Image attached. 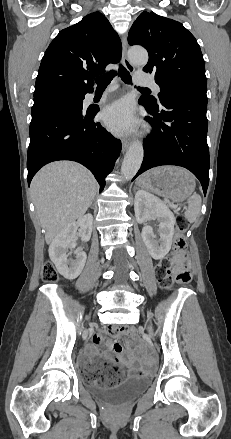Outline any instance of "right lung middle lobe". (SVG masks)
<instances>
[{"instance_id":"1","label":"right lung middle lobe","mask_w":231,"mask_h":439,"mask_svg":"<svg viewBox=\"0 0 231 439\" xmlns=\"http://www.w3.org/2000/svg\"><path fill=\"white\" fill-rule=\"evenodd\" d=\"M82 94L51 93L34 98L31 109L32 121H38L65 111H70L82 105Z\"/></svg>"}]
</instances>
